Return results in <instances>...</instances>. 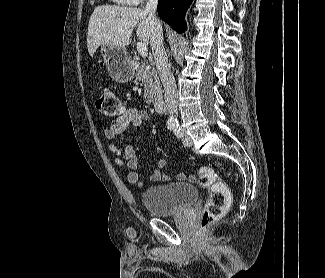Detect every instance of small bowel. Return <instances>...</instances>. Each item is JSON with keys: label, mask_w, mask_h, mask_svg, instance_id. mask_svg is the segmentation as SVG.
Listing matches in <instances>:
<instances>
[{"label": "small bowel", "mask_w": 325, "mask_h": 278, "mask_svg": "<svg viewBox=\"0 0 325 278\" xmlns=\"http://www.w3.org/2000/svg\"><path fill=\"white\" fill-rule=\"evenodd\" d=\"M148 118L149 114L147 111L129 108L121 117L114 120L111 125L104 130V136L110 140L114 139L117 135L123 134L129 126H132L133 129H138ZM109 151L115 156L114 162L118 167H127L128 173L126 178L128 182L137 187H142L143 184L139 179L137 171L139 159L135 147L129 144L122 149L116 144H110ZM165 164L166 162L164 159H158L155 162L151 168V182L157 183L168 180V176L163 173ZM178 177L184 179L185 175L180 174Z\"/></svg>", "instance_id": "obj_1"}]
</instances>
